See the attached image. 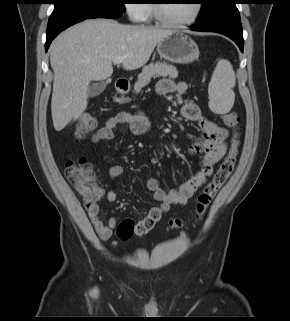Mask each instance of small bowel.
<instances>
[{"mask_svg": "<svg viewBox=\"0 0 290 321\" xmlns=\"http://www.w3.org/2000/svg\"><path fill=\"white\" fill-rule=\"evenodd\" d=\"M186 91L187 84L183 81L176 83L171 79H162L157 85V93L160 95L184 94ZM182 115L185 119L195 122L201 133L199 140L190 146V152L193 155L200 156V170L192 178L180 184L179 187L169 191L160 187L157 178L151 177L147 180L146 186L158 204L135 224L136 234L138 235L147 233L169 211L172 205H185L189 198L206 183L213 172L214 164L225 154L228 136L226 129L204 117L199 105L192 100L184 103ZM120 124L127 125L137 136L147 134L150 129V122L144 114L140 112H121L106 119L103 126L92 135L91 141L97 143L113 139L114 129ZM122 174L123 169L119 165H113L109 170V177L112 180L118 179ZM103 194L104 192L101 189V196ZM106 198L109 202H116L119 194L113 188L106 193ZM86 210L99 237L102 240L109 239L117 226V221L110 218L107 222H104L99 216L100 209L97 203L91 207H86Z\"/></svg>", "mask_w": 290, "mask_h": 321, "instance_id": "1", "label": "small bowel"}]
</instances>
